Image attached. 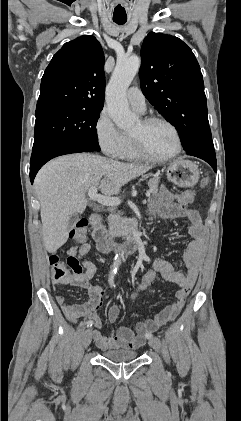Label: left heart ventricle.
I'll list each match as a JSON object with an SVG mask.
<instances>
[{"instance_id":"1","label":"left heart ventricle","mask_w":241,"mask_h":421,"mask_svg":"<svg viewBox=\"0 0 241 421\" xmlns=\"http://www.w3.org/2000/svg\"><path fill=\"white\" fill-rule=\"evenodd\" d=\"M130 134L139 135L146 150L157 157L166 156L176 148V138L173 131L162 123L143 126L139 121Z\"/></svg>"}]
</instances>
